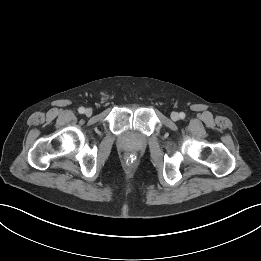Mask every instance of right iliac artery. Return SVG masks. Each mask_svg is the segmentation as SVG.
I'll return each instance as SVG.
<instances>
[{
  "instance_id": "obj_1",
  "label": "right iliac artery",
  "mask_w": 261,
  "mask_h": 261,
  "mask_svg": "<svg viewBox=\"0 0 261 261\" xmlns=\"http://www.w3.org/2000/svg\"><path fill=\"white\" fill-rule=\"evenodd\" d=\"M78 111H79V113L83 114V113L85 112V108H84V107H80V108L78 109Z\"/></svg>"
}]
</instances>
